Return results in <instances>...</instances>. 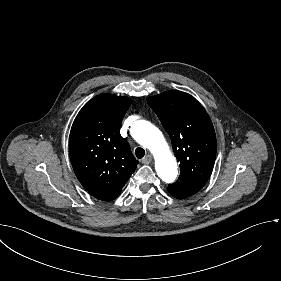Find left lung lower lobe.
<instances>
[{"label":"left lung lower lobe","instance_id":"1","mask_svg":"<svg viewBox=\"0 0 281 281\" xmlns=\"http://www.w3.org/2000/svg\"><path fill=\"white\" fill-rule=\"evenodd\" d=\"M170 194H171L172 196L178 198V199L185 198V197H183V196H181V195H177V194H174V193H171V192H170Z\"/></svg>","mask_w":281,"mask_h":281}]
</instances>
